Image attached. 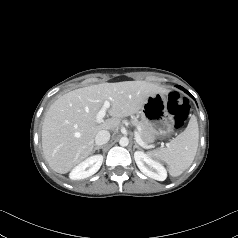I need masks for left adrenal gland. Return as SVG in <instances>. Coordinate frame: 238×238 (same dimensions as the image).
Returning <instances> with one entry per match:
<instances>
[{
    "mask_svg": "<svg viewBox=\"0 0 238 238\" xmlns=\"http://www.w3.org/2000/svg\"><path fill=\"white\" fill-rule=\"evenodd\" d=\"M134 149L137 148V149H141L140 146L137 144V142H135V145L133 147Z\"/></svg>",
    "mask_w": 238,
    "mask_h": 238,
    "instance_id": "obj_1",
    "label": "left adrenal gland"
}]
</instances>
